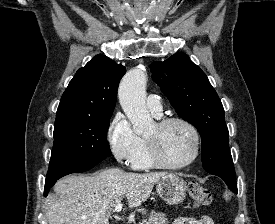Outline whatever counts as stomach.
Masks as SVG:
<instances>
[{
    "instance_id": "1",
    "label": "stomach",
    "mask_w": 275,
    "mask_h": 224,
    "mask_svg": "<svg viewBox=\"0 0 275 224\" xmlns=\"http://www.w3.org/2000/svg\"><path fill=\"white\" fill-rule=\"evenodd\" d=\"M187 183L176 174H167L156 185L159 197L169 205L181 203L186 197Z\"/></svg>"
}]
</instances>
